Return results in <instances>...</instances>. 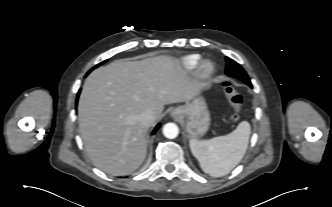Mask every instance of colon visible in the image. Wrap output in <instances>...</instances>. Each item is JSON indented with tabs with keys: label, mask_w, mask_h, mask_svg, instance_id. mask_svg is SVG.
<instances>
[{
	"label": "colon",
	"mask_w": 332,
	"mask_h": 207,
	"mask_svg": "<svg viewBox=\"0 0 332 207\" xmlns=\"http://www.w3.org/2000/svg\"><path fill=\"white\" fill-rule=\"evenodd\" d=\"M224 91L227 97V100L232 108V113L230 115V119L232 121H236L239 119L240 112L244 105V97L241 93H239L234 85L233 82L229 79L223 82Z\"/></svg>",
	"instance_id": "obj_1"
}]
</instances>
